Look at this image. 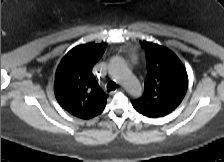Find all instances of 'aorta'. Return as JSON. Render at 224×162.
<instances>
[{
	"instance_id": "1",
	"label": "aorta",
	"mask_w": 224,
	"mask_h": 162,
	"mask_svg": "<svg viewBox=\"0 0 224 162\" xmlns=\"http://www.w3.org/2000/svg\"><path fill=\"white\" fill-rule=\"evenodd\" d=\"M109 74L117 80L126 91L139 97L142 94V87L139 80L132 74L124 60L120 57H113L108 65Z\"/></svg>"
}]
</instances>
